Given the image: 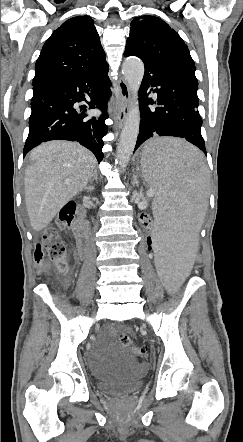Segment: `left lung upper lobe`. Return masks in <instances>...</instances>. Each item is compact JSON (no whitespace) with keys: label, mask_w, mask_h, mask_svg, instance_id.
I'll use <instances>...</instances> for the list:
<instances>
[{"label":"left lung upper lobe","mask_w":243,"mask_h":442,"mask_svg":"<svg viewBox=\"0 0 243 442\" xmlns=\"http://www.w3.org/2000/svg\"><path fill=\"white\" fill-rule=\"evenodd\" d=\"M125 51L155 64L195 72L187 45L178 33L158 17L140 16L131 22Z\"/></svg>","instance_id":"left-lung-upper-lobe-1"}]
</instances>
